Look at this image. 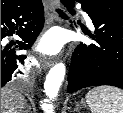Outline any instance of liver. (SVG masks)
<instances>
[{"instance_id": "1", "label": "liver", "mask_w": 123, "mask_h": 113, "mask_svg": "<svg viewBox=\"0 0 123 113\" xmlns=\"http://www.w3.org/2000/svg\"><path fill=\"white\" fill-rule=\"evenodd\" d=\"M26 100L14 88L1 89V113H23Z\"/></svg>"}]
</instances>
